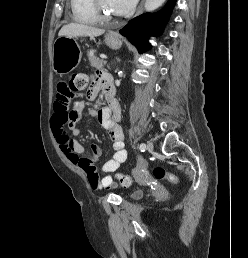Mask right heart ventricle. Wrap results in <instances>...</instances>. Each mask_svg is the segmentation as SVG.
Returning <instances> with one entry per match:
<instances>
[{
    "label": "right heart ventricle",
    "mask_w": 248,
    "mask_h": 258,
    "mask_svg": "<svg viewBox=\"0 0 248 258\" xmlns=\"http://www.w3.org/2000/svg\"><path fill=\"white\" fill-rule=\"evenodd\" d=\"M70 8L73 19L82 24H95V17L92 0H70Z\"/></svg>",
    "instance_id": "right-heart-ventricle-1"
}]
</instances>
